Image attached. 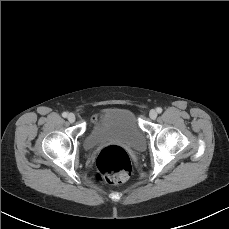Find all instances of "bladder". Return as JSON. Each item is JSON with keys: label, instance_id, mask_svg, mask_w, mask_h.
Here are the masks:
<instances>
[{"label": "bladder", "instance_id": "obj_1", "mask_svg": "<svg viewBox=\"0 0 229 229\" xmlns=\"http://www.w3.org/2000/svg\"><path fill=\"white\" fill-rule=\"evenodd\" d=\"M120 142L136 153L146 149V137L134 114L127 109H107L89 127L84 146L93 149L107 142Z\"/></svg>", "mask_w": 229, "mask_h": 229}]
</instances>
